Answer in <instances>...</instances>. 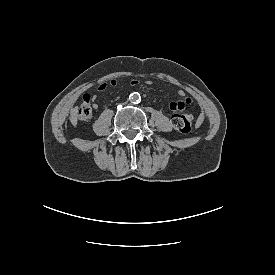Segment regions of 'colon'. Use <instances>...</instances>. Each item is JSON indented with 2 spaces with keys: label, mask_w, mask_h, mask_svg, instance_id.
<instances>
[{
  "label": "colon",
  "mask_w": 275,
  "mask_h": 275,
  "mask_svg": "<svg viewBox=\"0 0 275 275\" xmlns=\"http://www.w3.org/2000/svg\"><path fill=\"white\" fill-rule=\"evenodd\" d=\"M138 81H133V83ZM118 84L117 80L113 79L111 81L104 84L102 88H106L107 85L111 87H115ZM101 88V89H102ZM92 103L90 99V95H85L83 97V101L81 105L79 106L78 110L76 111V117L79 120H87L91 117L92 114ZM173 124L175 125L176 129L179 131L186 133L189 132L195 122L194 116L191 113H184L180 115H176L172 117Z\"/></svg>",
  "instance_id": "5ec220e1"
}]
</instances>
